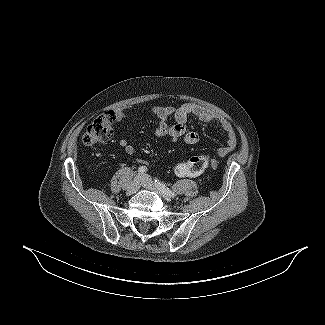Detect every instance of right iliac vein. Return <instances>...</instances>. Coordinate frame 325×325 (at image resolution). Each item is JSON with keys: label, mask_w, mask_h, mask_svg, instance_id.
<instances>
[{"label": "right iliac vein", "mask_w": 325, "mask_h": 325, "mask_svg": "<svg viewBox=\"0 0 325 325\" xmlns=\"http://www.w3.org/2000/svg\"><path fill=\"white\" fill-rule=\"evenodd\" d=\"M140 184H141V177L140 176H136L131 183L129 184V187L127 189V192L129 194H134L136 193L139 188H140Z\"/></svg>", "instance_id": "obj_1"}]
</instances>
